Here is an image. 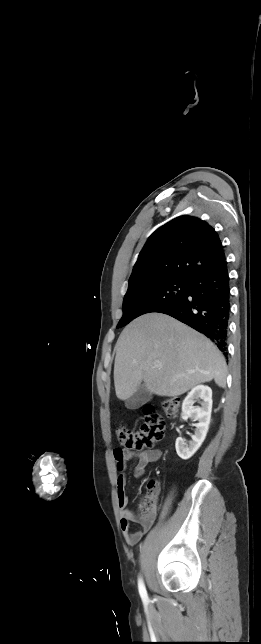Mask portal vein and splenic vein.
Listing matches in <instances>:
<instances>
[{
	"label": "portal vein and splenic vein",
	"instance_id": "portal-vein-and-splenic-vein-1",
	"mask_svg": "<svg viewBox=\"0 0 261 644\" xmlns=\"http://www.w3.org/2000/svg\"><path fill=\"white\" fill-rule=\"evenodd\" d=\"M155 366L160 367V363L159 362L155 363Z\"/></svg>",
	"mask_w": 261,
	"mask_h": 644
}]
</instances>
